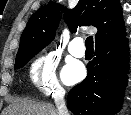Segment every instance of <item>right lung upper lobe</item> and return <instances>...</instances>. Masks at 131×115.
<instances>
[{
  "label": "right lung upper lobe",
  "mask_w": 131,
  "mask_h": 115,
  "mask_svg": "<svg viewBox=\"0 0 131 115\" xmlns=\"http://www.w3.org/2000/svg\"><path fill=\"white\" fill-rule=\"evenodd\" d=\"M60 10L63 11V7L53 2L31 16L22 33L16 57L30 50H41L53 40ZM64 18L71 32H76L78 26H95L98 30L96 46L125 35L119 0H79Z\"/></svg>",
  "instance_id": "1"
}]
</instances>
